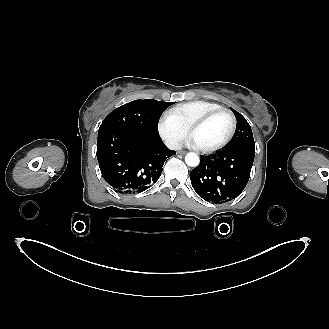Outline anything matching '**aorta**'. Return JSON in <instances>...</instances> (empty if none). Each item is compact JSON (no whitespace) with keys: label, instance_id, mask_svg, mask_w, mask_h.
Here are the masks:
<instances>
[{"label":"aorta","instance_id":"762f6f07","mask_svg":"<svg viewBox=\"0 0 329 329\" xmlns=\"http://www.w3.org/2000/svg\"><path fill=\"white\" fill-rule=\"evenodd\" d=\"M185 162L188 166L196 167L199 165L200 159L196 153L190 152L185 156Z\"/></svg>","mask_w":329,"mask_h":329}]
</instances>
